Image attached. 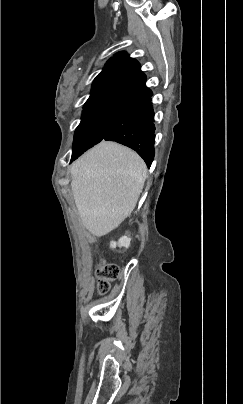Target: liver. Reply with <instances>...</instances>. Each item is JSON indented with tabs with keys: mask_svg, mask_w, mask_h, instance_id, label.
<instances>
[{
	"mask_svg": "<svg viewBox=\"0 0 243 404\" xmlns=\"http://www.w3.org/2000/svg\"><path fill=\"white\" fill-rule=\"evenodd\" d=\"M81 222L93 236H105L132 214L147 178L140 156L116 142H101L70 170Z\"/></svg>",
	"mask_w": 243,
	"mask_h": 404,
	"instance_id": "liver-1",
	"label": "liver"
}]
</instances>
